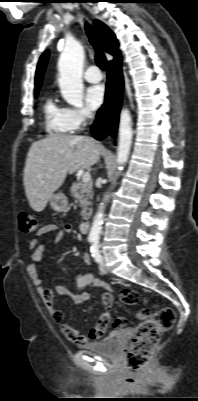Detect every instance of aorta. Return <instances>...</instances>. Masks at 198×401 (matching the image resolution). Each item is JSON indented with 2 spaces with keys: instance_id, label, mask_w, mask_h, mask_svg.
I'll use <instances>...</instances> for the list:
<instances>
[{
  "instance_id": "aorta-1",
  "label": "aorta",
  "mask_w": 198,
  "mask_h": 401,
  "mask_svg": "<svg viewBox=\"0 0 198 401\" xmlns=\"http://www.w3.org/2000/svg\"><path fill=\"white\" fill-rule=\"evenodd\" d=\"M83 58L84 50L81 44L70 42L65 45L58 62V81L61 95L68 104L76 107L83 105ZM132 136V117L128 109H123L120 114L119 143L116 159L119 170H122L128 160ZM108 197V195H105L104 201L99 205L98 212L94 216L89 233V240L91 241L99 239L104 218L105 202Z\"/></svg>"
}]
</instances>
